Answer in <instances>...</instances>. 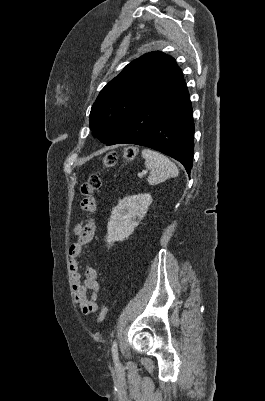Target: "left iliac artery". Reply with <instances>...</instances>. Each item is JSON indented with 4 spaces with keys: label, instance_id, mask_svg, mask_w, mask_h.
Returning <instances> with one entry per match:
<instances>
[{
    "label": "left iliac artery",
    "instance_id": "44dca946",
    "mask_svg": "<svg viewBox=\"0 0 265 401\" xmlns=\"http://www.w3.org/2000/svg\"><path fill=\"white\" fill-rule=\"evenodd\" d=\"M112 356L116 366H119V359H118V348L116 340L112 343Z\"/></svg>",
    "mask_w": 265,
    "mask_h": 401
}]
</instances>
